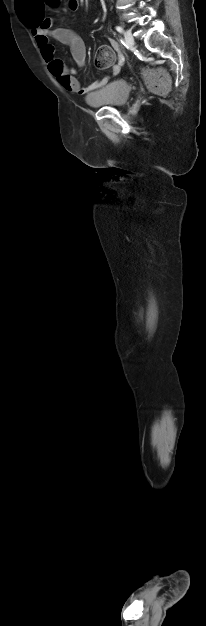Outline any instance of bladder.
<instances>
[{"instance_id":"31cf9c89","label":"bladder","mask_w":206,"mask_h":626,"mask_svg":"<svg viewBox=\"0 0 206 626\" xmlns=\"http://www.w3.org/2000/svg\"><path fill=\"white\" fill-rule=\"evenodd\" d=\"M130 93V85L125 80L116 79L88 94L85 100L94 108L121 107L127 103Z\"/></svg>"}]
</instances>
